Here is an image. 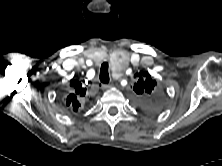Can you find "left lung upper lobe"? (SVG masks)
Masks as SVG:
<instances>
[{
	"label": "left lung upper lobe",
	"instance_id": "5c2ea615",
	"mask_svg": "<svg viewBox=\"0 0 222 166\" xmlns=\"http://www.w3.org/2000/svg\"><path fill=\"white\" fill-rule=\"evenodd\" d=\"M138 81L134 84L133 90L143 98L145 95H150L156 86V81L151 78L147 72H139L135 74Z\"/></svg>",
	"mask_w": 222,
	"mask_h": 166
}]
</instances>
